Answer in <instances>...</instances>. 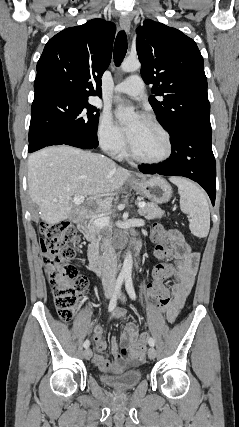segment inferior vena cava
Listing matches in <instances>:
<instances>
[{
  "label": "inferior vena cava",
  "instance_id": "1",
  "mask_svg": "<svg viewBox=\"0 0 239 427\" xmlns=\"http://www.w3.org/2000/svg\"><path fill=\"white\" fill-rule=\"evenodd\" d=\"M104 260L102 285L104 290L113 291L116 282L117 256L110 237L104 238Z\"/></svg>",
  "mask_w": 239,
  "mask_h": 427
}]
</instances>
